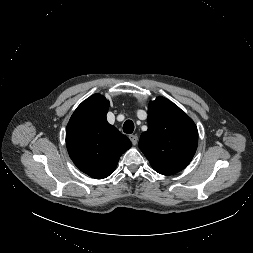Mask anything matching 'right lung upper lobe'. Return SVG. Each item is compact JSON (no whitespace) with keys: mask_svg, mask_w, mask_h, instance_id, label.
Segmentation results:
<instances>
[{"mask_svg":"<svg viewBox=\"0 0 253 253\" xmlns=\"http://www.w3.org/2000/svg\"><path fill=\"white\" fill-rule=\"evenodd\" d=\"M109 102L96 93L83 101L66 128L70 158L82 172L103 179L115 170L120 156L132 144L106 119Z\"/></svg>","mask_w":253,"mask_h":253,"instance_id":"obj_1","label":"right lung upper lobe"}]
</instances>
